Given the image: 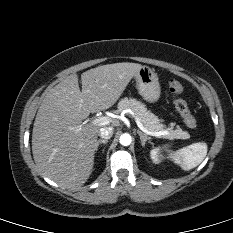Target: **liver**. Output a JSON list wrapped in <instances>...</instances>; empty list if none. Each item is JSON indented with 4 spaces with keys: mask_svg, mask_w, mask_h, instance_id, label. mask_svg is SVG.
Wrapping results in <instances>:
<instances>
[{
    "mask_svg": "<svg viewBox=\"0 0 233 233\" xmlns=\"http://www.w3.org/2000/svg\"><path fill=\"white\" fill-rule=\"evenodd\" d=\"M141 68L128 62L98 66L81 74L82 91L73 73L47 92L32 132L33 158L44 176L71 189L87 181L101 126L82 120L112 107Z\"/></svg>",
    "mask_w": 233,
    "mask_h": 233,
    "instance_id": "liver-1",
    "label": "liver"
}]
</instances>
